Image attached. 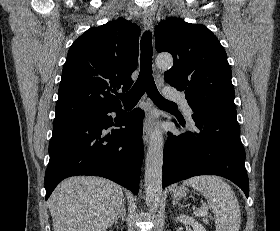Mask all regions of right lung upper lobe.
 Here are the masks:
<instances>
[{
  "label": "right lung upper lobe",
  "mask_w": 280,
  "mask_h": 231,
  "mask_svg": "<svg viewBox=\"0 0 280 231\" xmlns=\"http://www.w3.org/2000/svg\"><path fill=\"white\" fill-rule=\"evenodd\" d=\"M140 28L123 18L88 29L70 47L54 122L121 106L113 89L128 90L137 67Z\"/></svg>",
  "instance_id": "cb5924a9"
}]
</instances>
